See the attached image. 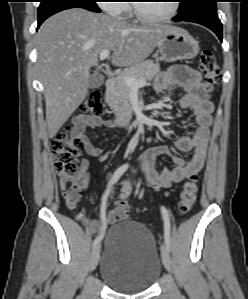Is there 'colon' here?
<instances>
[{
    "label": "colon",
    "mask_w": 248,
    "mask_h": 299,
    "mask_svg": "<svg viewBox=\"0 0 248 299\" xmlns=\"http://www.w3.org/2000/svg\"><path fill=\"white\" fill-rule=\"evenodd\" d=\"M200 69L207 90L214 89L221 81V73L215 55L211 50H204L200 55ZM84 113L100 116L104 112L101 94L92 91L81 105ZM84 147V141L79 136H72L69 129L59 133L52 140V153L55 162V172L59 178L61 190L66 204L76 209L82 195L83 177L77 160L79 151ZM198 192V177L192 175L184 183L178 203V213L183 216L190 212ZM129 204L123 201L119 206V214L126 219Z\"/></svg>",
    "instance_id": "5ec220e1"
}]
</instances>
